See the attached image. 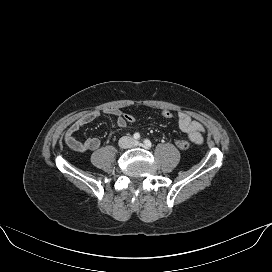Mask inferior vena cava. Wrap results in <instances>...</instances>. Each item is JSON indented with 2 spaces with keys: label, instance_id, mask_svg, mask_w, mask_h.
I'll return each mask as SVG.
<instances>
[{
  "label": "inferior vena cava",
  "instance_id": "1",
  "mask_svg": "<svg viewBox=\"0 0 272 272\" xmlns=\"http://www.w3.org/2000/svg\"><path fill=\"white\" fill-rule=\"evenodd\" d=\"M133 138L130 136H123L119 139V146L121 148L127 149L133 146Z\"/></svg>",
  "mask_w": 272,
  "mask_h": 272
}]
</instances>
